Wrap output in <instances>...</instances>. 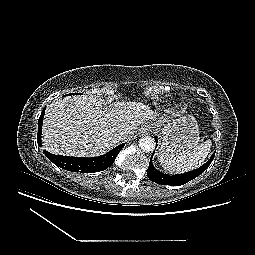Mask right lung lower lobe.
Returning <instances> with one entry per match:
<instances>
[{"mask_svg": "<svg viewBox=\"0 0 255 255\" xmlns=\"http://www.w3.org/2000/svg\"><path fill=\"white\" fill-rule=\"evenodd\" d=\"M44 113H45V108L43 109L38 120L37 142L39 146H41V131H42ZM123 147H124V144H121L104 155H101L98 157H92V158L54 155L47 151H43V153L55 165L67 171L94 173V172L103 171L107 169L108 167H110L114 163L116 156L118 155V153Z\"/></svg>", "mask_w": 255, "mask_h": 255, "instance_id": "obj_1", "label": "right lung lower lobe"}]
</instances>
